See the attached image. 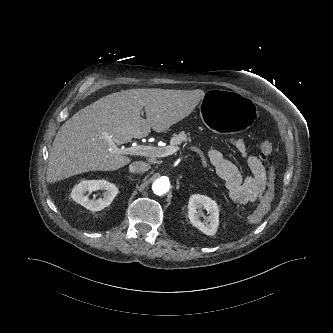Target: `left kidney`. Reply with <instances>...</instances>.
Listing matches in <instances>:
<instances>
[{
    "label": "left kidney",
    "instance_id": "1",
    "mask_svg": "<svg viewBox=\"0 0 333 333\" xmlns=\"http://www.w3.org/2000/svg\"><path fill=\"white\" fill-rule=\"evenodd\" d=\"M202 209L209 214L206 221L201 222ZM188 217L191 224L206 235H214L219 225V209L216 202L207 196L194 194L189 199Z\"/></svg>",
    "mask_w": 333,
    "mask_h": 333
}]
</instances>
